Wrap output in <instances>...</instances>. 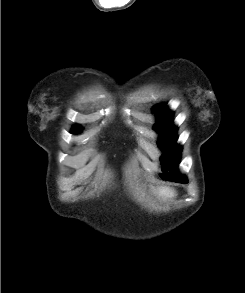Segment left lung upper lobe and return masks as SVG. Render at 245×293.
Returning a JSON list of instances; mask_svg holds the SVG:
<instances>
[{"label": "left lung upper lobe", "instance_id": "left-lung-upper-lobe-1", "mask_svg": "<svg viewBox=\"0 0 245 293\" xmlns=\"http://www.w3.org/2000/svg\"><path fill=\"white\" fill-rule=\"evenodd\" d=\"M154 111L159 114V121L154 126L161 133L159 146L166 151L161 158L162 170L169 171L162 174L161 177L165 180L180 182L179 180L186 179V177L177 172L181 147L175 146L177 137L176 128L172 126L173 114L166 110L165 105H157Z\"/></svg>", "mask_w": 245, "mask_h": 293}]
</instances>
